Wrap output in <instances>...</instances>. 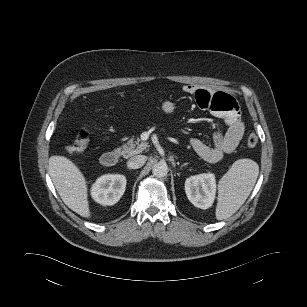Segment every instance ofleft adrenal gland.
<instances>
[{"label": "left adrenal gland", "mask_w": 307, "mask_h": 307, "mask_svg": "<svg viewBox=\"0 0 307 307\" xmlns=\"http://www.w3.org/2000/svg\"><path fill=\"white\" fill-rule=\"evenodd\" d=\"M186 165H188V163H184V164L182 165V167H184V166H186Z\"/></svg>", "instance_id": "1"}]
</instances>
